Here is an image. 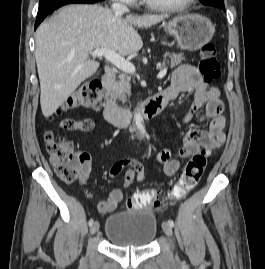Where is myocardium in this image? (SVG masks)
<instances>
[{
  "label": "myocardium",
  "mask_w": 265,
  "mask_h": 269,
  "mask_svg": "<svg viewBox=\"0 0 265 269\" xmlns=\"http://www.w3.org/2000/svg\"><path fill=\"white\" fill-rule=\"evenodd\" d=\"M148 7L160 11H181L191 6L195 0H184L176 4L159 3L154 0H142Z\"/></svg>",
  "instance_id": "myocardium-1"
}]
</instances>
